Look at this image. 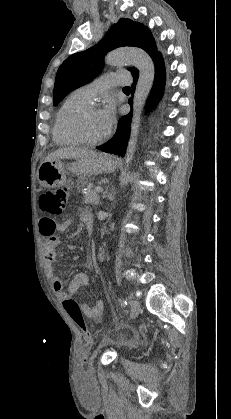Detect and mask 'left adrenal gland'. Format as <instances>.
Listing matches in <instances>:
<instances>
[{
	"mask_svg": "<svg viewBox=\"0 0 231 419\" xmlns=\"http://www.w3.org/2000/svg\"><path fill=\"white\" fill-rule=\"evenodd\" d=\"M114 195H115V193H110V194H108V197H109V198H113V197H114Z\"/></svg>",
	"mask_w": 231,
	"mask_h": 419,
	"instance_id": "obj_1",
	"label": "left adrenal gland"
}]
</instances>
